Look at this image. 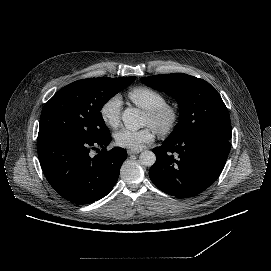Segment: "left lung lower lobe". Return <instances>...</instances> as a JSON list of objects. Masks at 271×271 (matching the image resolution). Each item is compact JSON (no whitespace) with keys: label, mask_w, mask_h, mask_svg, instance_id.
Returning a JSON list of instances; mask_svg holds the SVG:
<instances>
[{"label":"left lung lower lobe","mask_w":271,"mask_h":271,"mask_svg":"<svg viewBox=\"0 0 271 271\" xmlns=\"http://www.w3.org/2000/svg\"><path fill=\"white\" fill-rule=\"evenodd\" d=\"M231 130L203 129L166 139L153 149L149 176L161 191L188 198L206 190L221 174L231 148Z\"/></svg>","instance_id":"obj_1"}]
</instances>
